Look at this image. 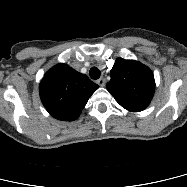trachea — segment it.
I'll use <instances>...</instances> for the list:
<instances>
[{"mask_svg":"<svg viewBox=\"0 0 187 187\" xmlns=\"http://www.w3.org/2000/svg\"><path fill=\"white\" fill-rule=\"evenodd\" d=\"M89 74L92 79H99L101 72L97 67H92L89 71Z\"/></svg>","mask_w":187,"mask_h":187,"instance_id":"3493384b","label":"trachea"}]
</instances>
